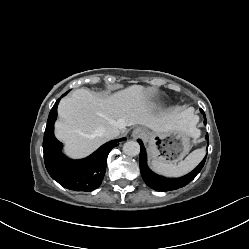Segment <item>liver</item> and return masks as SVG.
<instances>
[{"mask_svg": "<svg viewBox=\"0 0 249 249\" xmlns=\"http://www.w3.org/2000/svg\"><path fill=\"white\" fill-rule=\"evenodd\" d=\"M150 96V90L141 85H132L106 97L84 88L76 89L59 103L55 135L72 158L85 157L104 144L107 138L103 130L108 126L118 127L122 133L127 126L136 124L155 132L182 128L194 138L200 136L195 127L199 118L191 108L154 114Z\"/></svg>", "mask_w": 249, "mask_h": 249, "instance_id": "liver-1", "label": "liver"}]
</instances>
